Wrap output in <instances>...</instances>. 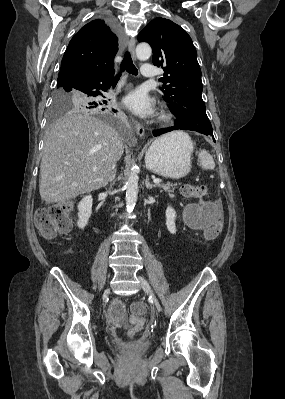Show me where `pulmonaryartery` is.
<instances>
[{
    "label": "pulmonary artery",
    "mask_w": 285,
    "mask_h": 399,
    "mask_svg": "<svg viewBox=\"0 0 285 399\" xmlns=\"http://www.w3.org/2000/svg\"><path fill=\"white\" fill-rule=\"evenodd\" d=\"M156 75L154 65L150 63H143L141 67V76L144 78H154Z\"/></svg>",
    "instance_id": "1"
}]
</instances>
